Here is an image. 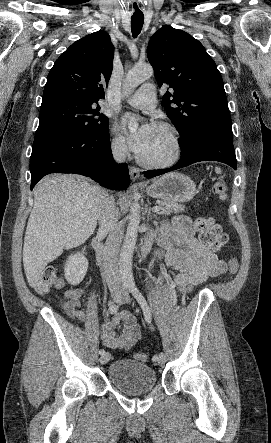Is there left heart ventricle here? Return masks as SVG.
Here are the masks:
<instances>
[{
    "mask_svg": "<svg viewBox=\"0 0 271 443\" xmlns=\"http://www.w3.org/2000/svg\"><path fill=\"white\" fill-rule=\"evenodd\" d=\"M173 143L166 130L153 126L149 146L143 157L151 160L164 159L170 156Z\"/></svg>",
    "mask_w": 271,
    "mask_h": 443,
    "instance_id": "left-heart-ventricle-1",
    "label": "left heart ventricle"
}]
</instances>
